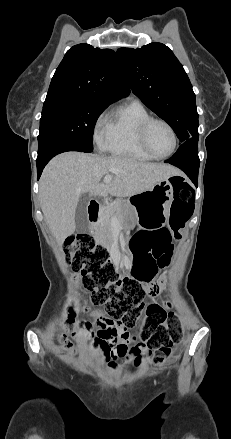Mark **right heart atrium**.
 <instances>
[{
    "label": "right heart atrium",
    "mask_w": 231,
    "mask_h": 439,
    "mask_svg": "<svg viewBox=\"0 0 231 439\" xmlns=\"http://www.w3.org/2000/svg\"><path fill=\"white\" fill-rule=\"evenodd\" d=\"M106 117L104 114L98 116L94 124L93 137L97 143H101L105 136Z\"/></svg>",
    "instance_id": "1"
}]
</instances>
